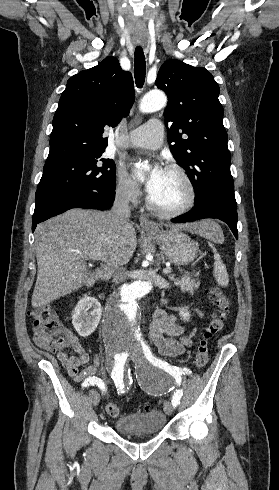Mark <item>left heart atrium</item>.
I'll return each instance as SVG.
<instances>
[{
    "label": "left heart atrium",
    "mask_w": 279,
    "mask_h": 490,
    "mask_svg": "<svg viewBox=\"0 0 279 490\" xmlns=\"http://www.w3.org/2000/svg\"><path fill=\"white\" fill-rule=\"evenodd\" d=\"M165 169L157 162H154L151 168L145 173L144 187L150 198L158 195L163 184Z\"/></svg>",
    "instance_id": "1"
}]
</instances>
